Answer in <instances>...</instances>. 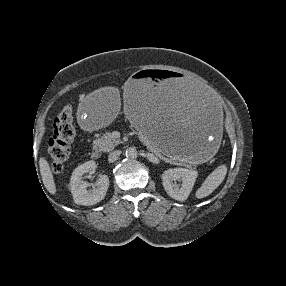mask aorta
<instances>
[{
  "mask_svg": "<svg viewBox=\"0 0 286 286\" xmlns=\"http://www.w3.org/2000/svg\"><path fill=\"white\" fill-rule=\"evenodd\" d=\"M138 155L137 150L135 147H129L126 149V157L127 158H131L134 159L136 158Z\"/></svg>",
  "mask_w": 286,
  "mask_h": 286,
  "instance_id": "762f6f07",
  "label": "aorta"
}]
</instances>
